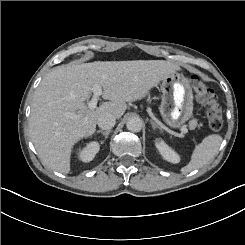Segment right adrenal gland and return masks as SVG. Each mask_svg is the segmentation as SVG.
I'll list each match as a JSON object with an SVG mask.
<instances>
[{
  "instance_id": "obj_1",
  "label": "right adrenal gland",
  "mask_w": 245,
  "mask_h": 245,
  "mask_svg": "<svg viewBox=\"0 0 245 245\" xmlns=\"http://www.w3.org/2000/svg\"><path fill=\"white\" fill-rule=\"evenodd\" d=\"M97 132H101L102 134L105 135V139L108 137V135L110 134L111 132V129H108V130H100L98 129Z\"/></svg>"
}]
</instances>
